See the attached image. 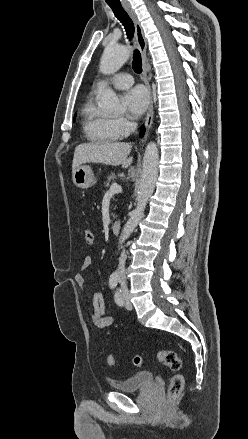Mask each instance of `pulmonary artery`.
I'll use <instances>...</instances> for the list:
<instances>
[{
  "mask_svg": "<svg viewBox=\"0 0 248 439\" xmlns=\"http://www.w3.org/2000/svg\"><path fill=\"white\" fill-rule=\"evenodd\" d=\"M110 83L117 89H125L133 84V78L128 73H119L110 80ZM101 84H103V81L97 83V85Z\"/></svg>",
  "mask_w": 248,
  "mask_h": 439,
  "instance_id": "pulmonary-artery-1",
  "label": "pulmonary artery"
}]
</instances>
